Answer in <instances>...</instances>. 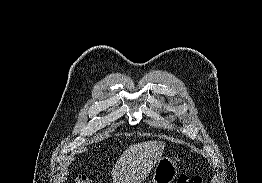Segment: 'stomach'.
I'll return each instance as SVG.
<instances>
[{"label":"stomach","instance_id":"stomach-1","mask_svg":"<svg viewBox=\"0 0 262 183\" xmlns=\"http://www.w3.org/2000/svg\"><path fill=\"white\" fill-rule=\"evenodd\" d=\"M177 163L170 157H161L154 166L149 183H172L178 174Z\"/></svg>","mask_w":262,"mask_h":183}]
</instances>
